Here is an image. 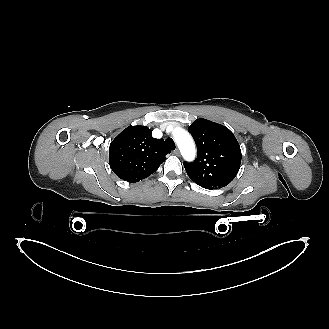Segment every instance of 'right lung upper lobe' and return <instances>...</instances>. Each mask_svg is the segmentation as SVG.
Returning <instances> with one entry per match:
<instances>
[{
	"instance_id": "cb5924a9",
	"label": "right lung upper lobe",
	"mask_w": 329,
	"mask_h": 329,
	"mask_svg": "<svg viewBox=\"0 0 329 329\" xmlns=\"http://www.w3.org/2000/svg\"><path fill=\"white\" fill-rule=\"evenodd\" d=\"M167 152L163 139L153 138L148 127L129 126L111 142L109 163L120 179L138 182L159 168Z\"/></svg>"
}]
</instances>
